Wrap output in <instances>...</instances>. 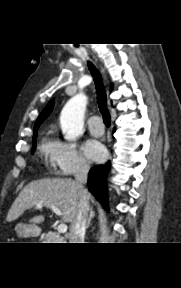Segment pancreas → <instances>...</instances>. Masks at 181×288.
Here are the masks:
<instances>
[{
    "label": "pancreas",
    "instance_id": "1",
    "mask_svg": "<svg viewBox=\"0 0 181 288\" xmlns=\"http://www.w3.org/2000/svg\"><path fill=\"white\" fill-rule=\"evenodd\" d=\"M46 243H62V238L54 232L48 233L44 238Z\"/></svg>",
    "mask_w": 181,
    "mask_h": 288
}]
</instances>
